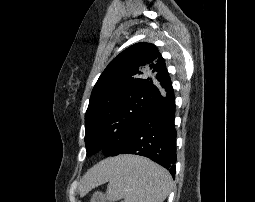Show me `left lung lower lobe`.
<instances>
[{"label":"left lung lower lobe","instance_id":"obj_1","mask_svg":"<svg viewBox=\"0 0 255 202\" xmlns=\"http://www.w3.org/2000/svg\"><path fill=\"white\" fill-rule=\"evenodd\" d=\"M174 117L175 97L172 93L143 119L119 154L148 157L168 169L174 177L176 163Z\"/></svg>","mask_w":255,"mask_h":202}]
</instances>
